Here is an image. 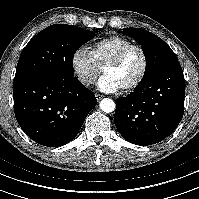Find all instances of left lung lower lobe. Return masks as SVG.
Masks as SVG:
<instances>
[{
	"mask_svg": "<svg viewBox=\"0 0 199 199\" xmlns=\"http://www.w3.org/2000/svg\"><path fill=\"white\" fill-rule=\"evenodd\" d=\"M185 80L179 63L140 82L132 93L116 99L114 123L125 140L152 145L168 137L183 117Z\"/></svg>",
	"mask_w": 199,
	"mask_h": 199,
	"instance_id": "obj_1",
	"label": "left lung lower lobe"
}]
</instances>
